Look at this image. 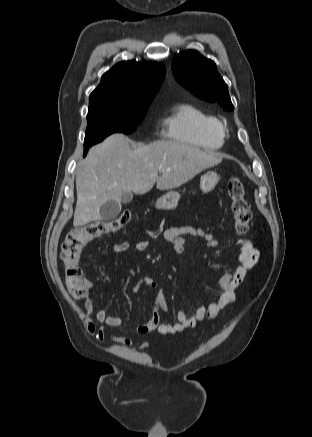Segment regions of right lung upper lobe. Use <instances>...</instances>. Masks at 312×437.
Listing matches in <instances>:
<instances>
[{
	"label": "right lung upper lobe",
	"mask_w": 312,
	"mask_h": 437,
	"mask_svg": "<svg viewBox=\"0 0 312 437\" xmlns=\"http://www.w3.org/2000/svg\"><path fill=\"white\" fill-rule=\"evenodd\" d=\"M166 74L162 63L123 61L106 72L89 97V112L137 113L146 110Z\"/></svg>",
	"instance_id": "cb5924a9"
}]
</instances>
